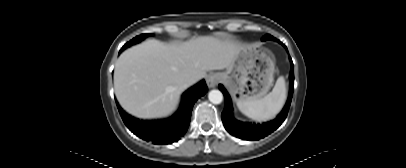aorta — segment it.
Wrapping results in <instances>:
<instances>
[{
	"label": "aorta",
	"mask_w": 406,
	"mask_h": 168,
	"mask_svg": "<svg viewBox=\"0 0 406 168\" xmlns=\"http://www.w3.org/2000/svg\"><path fill=\"white\" fill-rule=\"evenodd\" d=\"M208 99L213 104H220L223 101V94L219 90H211L208 94Z\"/></svg>",
	"instance_id": "762f6f07"
}]
</instances>
